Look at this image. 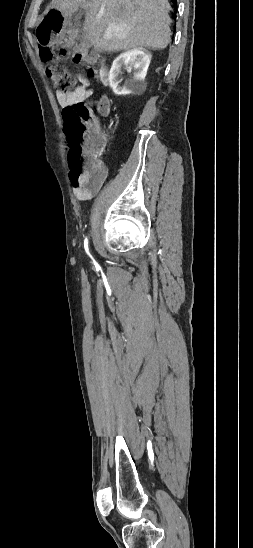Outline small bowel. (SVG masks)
I'll list each match as a JSON object with an SVG mask.
<instances>
[{
  "label": "small bowel",
  "instance_id": "small-bowel-1",
  "mask_svg": "<svg viewBox=\"0 0 253 548\" xmlns=\"http://www.w3.org/2000/svg\"><path fill=\"white\" fill-rule=\"evenodd\" d=\"M79 80L82 83L81 86L76 88L72 92H57L56 97L61 106H70L78 102H83L88 99L92 92L88 89L89 82L82 76H79ZM107 169L103 167V172L100 177L96 179H85L79 184L73 183V193L77 200L83 202L90 200L96 195L103 186L107 178Z\"/></svg>",
  "mask_w": 253,
  "mask_h": 548
}]
</instances>
